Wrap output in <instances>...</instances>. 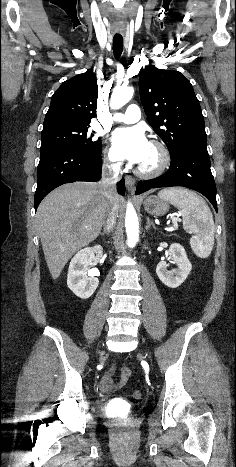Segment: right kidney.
Segmentation results:
<instances>
[{
  "label": "right kidney",
  "instance_id": "obj_1",
  "mask_svg": "<svg viewBox=\"0 0 236 467\" xmlns=\"http://www.w3.org/2000/svg\"><path fill=\"white\" fill-rule=\"evenodd\" d=\"M102 252L103 248L100 245L84 248L77 252L70 262L67 285L81 299L92 296L98 287L99 280L94 277L98 275V271L88 270V266H93L96 259L95 254Z\"/></svg>",
  "mask_w": 236,
  "mask_h": 467
}]
</instances>
